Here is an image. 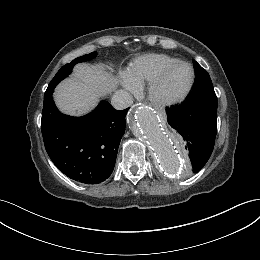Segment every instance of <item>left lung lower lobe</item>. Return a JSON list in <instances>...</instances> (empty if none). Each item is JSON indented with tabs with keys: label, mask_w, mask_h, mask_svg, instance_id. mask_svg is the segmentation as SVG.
Masks as SVG:
<instances>
[{
	"label": "left lung lower lobe",
	"mask_w": 260,
	"mask_h": 260,
	"mask_svg": "<svg viewBox=\"0 0 260 260\" xmlns=\"http://www.w3.org/2000/svg\"><path fill=\"white\" fill-rule=\"evenodd\" d=\"M167 121L189 154L191 171L199 172L214 148L217 132V97L203 96L168 108Z\"/></svg>",
	"instance_id": "1"
}]
</instances>
